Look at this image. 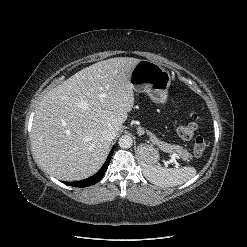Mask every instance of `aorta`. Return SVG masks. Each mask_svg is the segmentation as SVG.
<instances>
[{"instance_id": "aorta-1", "label": "aorta", "mask_w": 247, "mask_h": 247, "mask_svg": "<svg viewBox=\"0 0 247 247\" xmlns=\"http://www.w3.org/2000/svg\"><path fill=\"white\" fill-rule=\"evenodd\" d=\"M118 144L123 149H128L133 145V139L128 135L120 137Z\"/></svg>"}]
</instances>
